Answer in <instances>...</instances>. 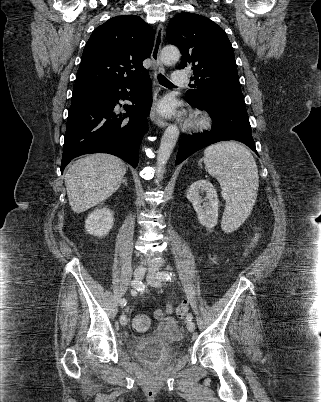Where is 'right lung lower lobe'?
<instances>
[{
	"instance_id": "98d812e1",
	"label": "right lung lower lobe",
	"mask_w": 321,
	"mask_h": 402,
	"mask_svg": "<svg viewBox=\"0 0 321 402\" xmlns=\"http://www.w3.org/2000/svg\"><path fill=\"white\" fill-rule=\"evenodd\" d=\"M120 99H129L134 104L127 106L123 115L114 111ZM151 105L149 77L135 83L100 85L93 91L73 95L61 172L73 158L89 153H109L137 167Z\"/></svg>"
}]
</instances>
